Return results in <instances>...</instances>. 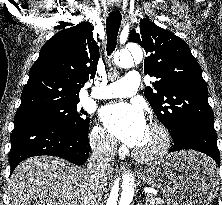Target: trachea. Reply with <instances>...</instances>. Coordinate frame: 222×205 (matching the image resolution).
Here are the masks:
<instances>
[{
	"label": "trachea",
	"instance_id": "trachea-1",
	"mask_svg": "<svg viewBox=\"0 0 222 205\" xmlns=\"http://www.w3.org/2000/svg\"><path fill=\"white\" fill-rule=\"evenodd\" d=\"M122 16L119 11H112L106 20L107 54L111 55L117 44V36L121 25Z\"/></svg>",
	"mask_w": 222,
	"mask_h": 205
}]
</instances>
